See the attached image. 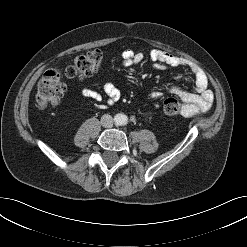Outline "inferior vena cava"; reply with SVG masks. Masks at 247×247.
<instances>
[{
  "instance_id": "1",
  "label": "inferior vena cava",
  "mask_w": 247,
  "mask_h": 247,
  "mask_svg": "<svg viewBox=\"0 0 247 247\" xmlns=\"http://www.w3.org/2000/svg\"><path fill=\"white\" fill-rule=\"evenodd\" d=\"M101 125L105 128L113 127V118L111 115L105 114L101 117Z\"/></svg>"
}]
</instances>
